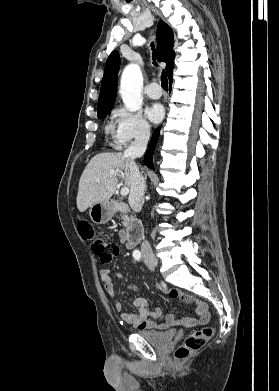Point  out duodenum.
I'll list each match as a JSON object with an SVG mask.
<instances>
[{
  "label": "duodenum",
  "instance_id": "410a0bca",
  "mask_svg": "<svg viewBox=\"0 0 279 391\" xmlns=\"http://www.w3.org/2000/svg\"><path fill=\"white\" fill-rule=\"evenodd\" d=\"M110 209L113 212L127 211L128 207L125 203L118 201H111L109 204ZM143 224L136 218H131L128 225L127 240L130 247L138 244L143 235Z\"/></svg>",
  "mask_w": 279,
  "mask_h": 391
}]
</instances>
